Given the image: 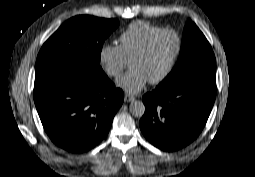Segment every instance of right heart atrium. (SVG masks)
<instances>
[{
  "label": "right heart atrium",
  "instance_id": "1",
  "mask_svg": "<svg viewBox=\"0 0 255 177\" xmlns=\"http://www.w3.org/2000/svg\"><path fill=\"white\" fill-rule=\"evenodd\" d=\"M99 60L108 76L117 78L127 65L122 49L113 43L103 44L99 50Z\"/></svg>",
  "mask_w": 255,
  "mask_h": 177
}]
</instances>
